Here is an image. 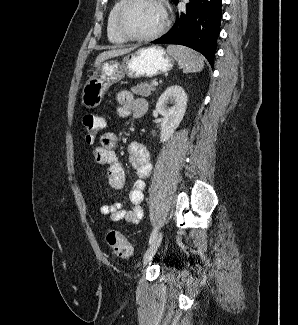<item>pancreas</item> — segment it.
<instances>
[{"label":"pancreas","instance_id":"cf45deb5","mask_svg":"<svg viewBox=\"0 0 298 325\" xmlns=\"http://www.w3.org/2000/svg\"><path fill=\"white\" fill-rule=\"evenodd\" d=\"M131 90L139 96H150L155 90V84H153V80H145V82H138L135 86H131Z\"/></svg>","mask_w":298,"mask_h":325}]
</instances>
